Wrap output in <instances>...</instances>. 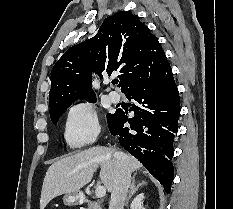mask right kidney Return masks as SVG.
<instances>
[{
    "label": "right kidney",
    "mask_w": 233,
    "mask_h": 209,
    "mask_svg": "<svg viewBox=\"0 0 233 209\" xmlns=\"http://www.w3.org/2000/svg\"><path fill=\"white\" fill-rule=\"evenodd\" d=\"M144 194L137 195L130 205V209H145L143 207Z\"/></svg>",
    "instance_id": "ca27d5eb"
}]
</instances>
